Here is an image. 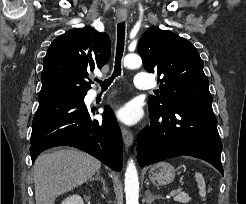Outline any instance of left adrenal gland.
<instances>
[{"mask_svg": "<svg viewBox=\"0 0 246 204\" xmlns=\"http://www.w3.org/2000/svg\"><path fill=\"white\" fill-rule=\"evenodd\" d=\"M146 195H147L146 202L148 204H151V202L154 201L155 198H160L161 197V196H154L149 191L146 192Z\"/></svg>", "mask_w": 246, "mask_h": 204, "instance_id": "a2214340", "label": "left adrenal gland"}]
</instances>
